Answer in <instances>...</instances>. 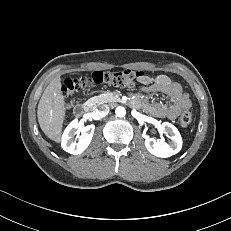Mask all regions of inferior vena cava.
I'll use <instances>...</instances> for the list:
<instances>
[{
  "label": "inferior vena cava",
  "mask_w": 231,
  "mask_h": 231,
  "mask_svg": "<svg viewBox=\"0 0 231 231\" xmlns=\"http://www.w3.org/2000/svg\"><path fill=\"white\" fill-rule=\"evenodd\" d=\"M98 110H99V114H100L102 117H104V116H106V115L109 113L110 108H109L108 105L103 104V105L99 106V109H98Z\"/></svg>",
  "instance_id": "inferior-vena-cava-1"
}]
</instances>
